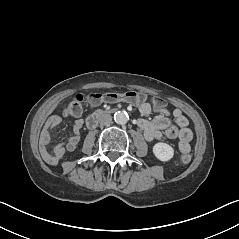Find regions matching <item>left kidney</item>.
Segmentation results:
<instances>
[{"label":"left kidney","mask_w":239,"mask_h":239,"mask_svg":"<svg viewBox=\"0 0 239 239\" xmlns=\"http://www.w3.org/2000/svg\"><path fill=\"white\" fill-rule=\"evenodd\" d=\"M153 155L161 162H168L174 157V149L171 145L158 142L152 147Z\"/></svg>","instance_id":"5707ae66"}]
</instances>
